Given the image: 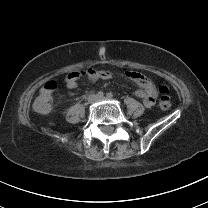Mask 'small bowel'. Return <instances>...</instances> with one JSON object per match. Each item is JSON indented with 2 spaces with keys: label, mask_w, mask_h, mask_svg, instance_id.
<instances>
[{
  "label": "small bowel",
  "mask_w": 208,
  "mask_h": 208,
  "mask_svg": "<svg viewBox=\"0 0 208 208\" xmlns=\"http://www.w3.org/2000/svg\"><path fill=\"white\" fill-rule=\"evenodd\" d=\"M86 73L88 74V77L92 80L100 79V78H107L111 75V72L107 70H93L92 67H87L86 68ZM85 73H81V76L84 75ZM125 76L133 81H135L139 87L140 90L135 92V95L143 100V103L147 107H151L156 98V90L152 84V82L149 80V78L142 74V73H137V72H126ZM67 84V83H66ZM67 86L71 89H74L77 87L76 86H71L67 84Z\"/></svg>",
  "instance_id": "c3829d8e"
}]
</instances>
